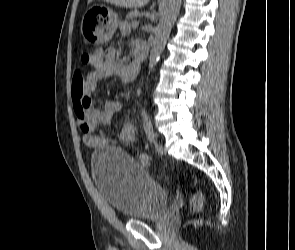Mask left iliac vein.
<instances>
[{
	"label": "left iliac vein",
	"instance_id": "4c4485c4",
	"mask_svg": "<svg viewBox=\"0 0 295 250\" xmlns=\"http://www.w3.org/2000/svg\"><path fill=\"white\" fill-rule=\"evenodd\" d=\"M154 146H155V148H156V150H157V152L159 153V154H164L166 151H165V149H164V147H163V145L160 143V141H158V140H155L154 141Z\"/></svg>",
	"mask_w": 295,
	"mask_h": 250
}]
</instances>
